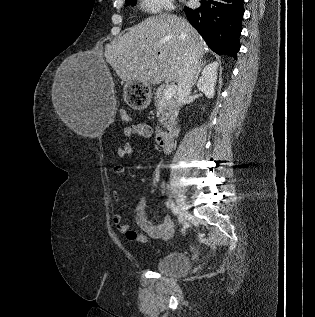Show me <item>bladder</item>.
Returning a JSON list of instances; mask_svg holds the SVG:
<instances>
[{"label": "bladder", "instance_id": "31cf9c89", "mask_svg": "<svg viewBox=\"0 0 315 317\" xmlns=\"http://www.w3.org/2000/svg\"><path fill=\"white\" fill-rule=\"evenodd\" d=\"M155 268L157 271L164 274L181 276L190 271L191 264L186 254L172 252L161 256L156 261Z\"/></svg>", "mask_w": 315, "mask_h": 317}]
</instances>
